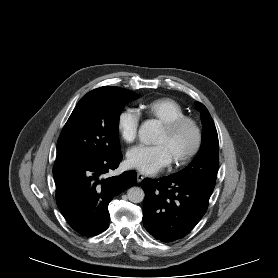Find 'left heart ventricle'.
I'll use <instances>...</instances> for the list:
<instances>
[{"instance_id":"1","label":"left heart ventricle","mask_w":278,"mask_h":278,"mask_svg":"<svg viewBox=\"0 0 278 278\" xmlns=\"http://www.w3.org/2000/svg\"><path fill=\"white\" fill-rule=\"evenodd\" d=\"M194 141L193 131L189 126L182 127L175 134L168 136L161 129L155 139L156 145H162L171 161L185 154L192 146Z\"/></svg>"}]
</instances>
